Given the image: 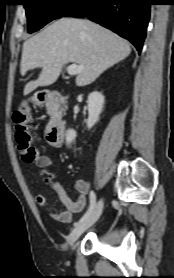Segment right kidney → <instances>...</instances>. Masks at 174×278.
I'll return each instance as SVG.
<instances>
[{"label": "right kidney", "mask_w": 174, "mask_h": 278, "mask_svg": "<svg viewBox=\"0 0 174 278\" xmlns=\"http://www.w3.org/2000/svg\"><path fill=\"white\" fill-rule=\"evenodd\" d=\"M88 113L87 127L91 129L99 120V115L103 110L104 96L98 91H94L89 94L88 101ZM76 138V132L73 129L66 131V144L70 145Z\"/></svg>", "instance_id": "obj_1"}]
</instances>
